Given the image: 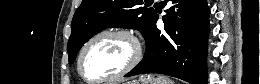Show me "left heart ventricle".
Listing matches in <instances>:
<instances>
[{
	"label": "left heart ventricle",
	"mask_w": 260,
	"mask_h": 84,
	"mask_svg": "<svg viewBox=\"0 0 260 84\" xmlns=\"http://www.w3.org/2000/svg\"><path fill=\"white\" fill-rule=\"evenodd\" d=\"M132 45L118 36H104L96 40L82 60V72L95 81L120 71L130 60Z\"/></svg>",
	"instance_id": "left-heart-ventricle-1"
}]
</instances>
